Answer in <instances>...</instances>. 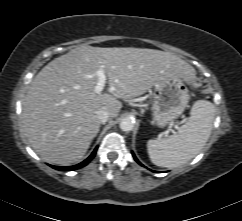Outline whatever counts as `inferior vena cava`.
<instances>
[{"mask_svg":"<svg viewBox=\"0 0 242 221\" xmlns=\"http://www.w3.org/2000/svg\"><path fill=\"white\" fill-rule=\"evenodd\" d=\"M97 118L100 121V123H105L109 120V112L105 110H98L96 112Z\"/></svg>","mask_w":242,"mask_h":221,"instance_id":"inferior-vena-cava-1","label":"inferior vena cava"}]
</instances>
